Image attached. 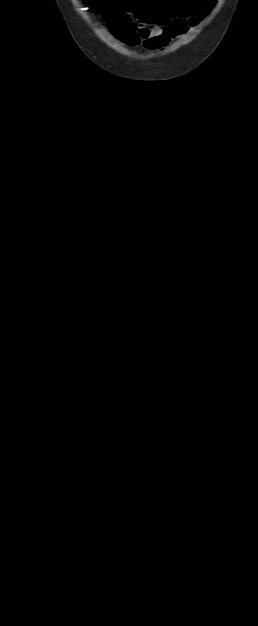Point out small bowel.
Returning a JSON list of instances; mask_svg holds the SVG:
<instances>
[{
  "label": "small bowel",
  "instance_id": "small-bowel-1",
  "mask_svg": "<svg viewBox=\"0 0 258 626\" xmlns=\"http://www.w3.org/2000/svg\"><path fill=\"white\" fill-rule=\"evenodd\" d=\"M117 0H88L92 8H102L103 17L115 36L126 45L139 44L148 50H163L169 42L196 26L214 0H172L152 19L135 24L129 10H119Z\"/></svg>",
  "mask_w": 258,
  "mask_h": 626
}]
</instances>
